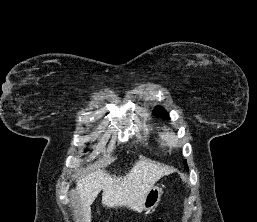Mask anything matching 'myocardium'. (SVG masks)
<instances>
[{"mask_svg": "<svg viewBox=\"0 0 257 222\" xmlns=\"http://www.w3.org/2000/svg\"><path fill=\"white\" fill-rule=\"evenodd\" d=\"M165 139H166L167 143L171 146H177L179 144L178 138L172 131L166 132Z\"/></svg>", "mask_w": 257, "mask_h": 222, "instance_id": "obj_1", "label": "myocardium"}]
</instances>
